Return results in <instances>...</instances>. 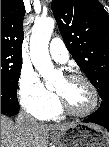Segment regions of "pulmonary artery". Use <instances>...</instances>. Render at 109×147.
Returning a JSON list of instances; mask_svg holds the SVG:
<instances>
[{"label":"pulmonary artery","instance_id":"1","mask_svg":"<svg viewBox=\"0 0 109 147\" xmlns=\"http://www.w3.org/2000/svg\"><path fill=\"white\" fill-rule=\"evenodd\" d=\"M49 53L52 59L58 63L64 64L69 60V52L60 37L52 39ZM39 119L44 120L43 117H40Z\"/></svg>","mask_w":109,"mask_h":147}]
</instances>
